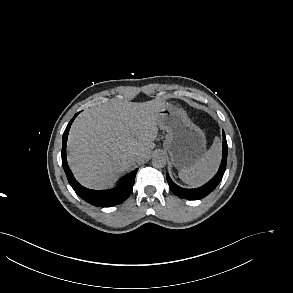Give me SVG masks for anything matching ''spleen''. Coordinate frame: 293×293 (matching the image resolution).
<instances>
[{"mask_svg": "<svg viewBox=\"0 0 293 293\" xmlns=\"http://www.w3.org/2000/svg\"><path fill=\"white\" fill-rule=\"evenodd\" d=\"M221 159V142L215 137L210 149L193 166L179 171V178L190 186H200L216 173Z\"/></svg>", "mask_w": 293, "mask_h": 293, "instance_id": "spleen-1", "label": "spleen"}]
</instances>
